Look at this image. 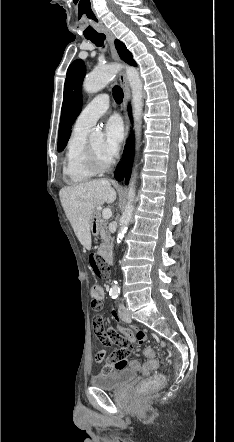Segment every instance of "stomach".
Masks as SVG:
<instances>
[{
	"mask_svg": "<svg viewBox=\"0 0 234 442\" xmlns=\"http://www.w3.org/2000/svg\"><path fill=\"white\" fill-rule=\"evenodd\" d=\"M94 219H95V214H93V216H92V218H91V220H90V229H91V230H94V229H95V222H94Z\"/></svg>",
	"mask_w": 234,
	"mask_h": 442,
	"instance_id": "1",
	"label": "stomach"
}]
</instances>
